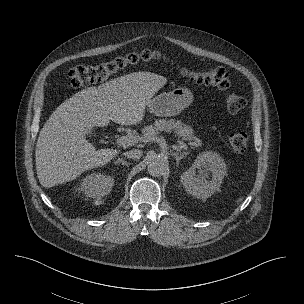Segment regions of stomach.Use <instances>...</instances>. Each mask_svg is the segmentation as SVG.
<instances>
[{
	"instance_id": "1",
	"label": "stomach",
	"mask_w": 304,
	"mask_h": 304,
	"mask_svg": "<svg viewBox=\"0 0 304 304\" xmlns=\"http://www.w3.org/2000/svg\"><path fill=\"white\" fill-rule=\"evenodd\" d=\"M193 101L192 92L185 87H178L170 92H163L152 98L147 105L149 112L170 117L181 113Z\"/></svg>"
}]
</instances>
